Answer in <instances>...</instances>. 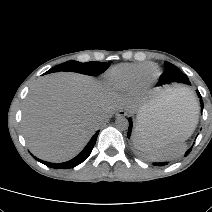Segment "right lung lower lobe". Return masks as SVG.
<instances>
[{"instance_id":"right-lung-lower-lobe-1","label":"right lung lower lobe","mask_w":212,"mask_h":212,"mask_svg":"<svg viewBox=\"0 0 212 212\" xmlns=\"http://www.w3.org/2000/svg\"><path fill=\"white\" fill-rule=\"evenodd\" d=\"M47 73H49V71H47L45 74H47ZM98 133H99V131H97L94 134V136L91 138V140L89 141L87 146L75 158H73L70 161H67V162H64V163L55 164V163L42 161V160H40V159H38L36 157H34V158L36 160L40 161L41 163L45 164L46 166L52 167V168H55V169L73 168V167L79 165L80 163H82L83 161H85L88 158V156L90 155V153H91V151H92V149H93V147L95 145Z\"/></svg>"}]
</instances>
